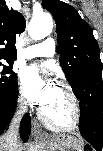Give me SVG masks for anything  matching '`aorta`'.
Segmentation results:
<instances>
[{
    "instance_id": "obj_1",
    "label": "aorta",
    "mask_w": 103,
    "mask_h": 151,
    "mask_svg": "<svg viewBox=\"0 0 103 151\" xmlns=\"http://www.w3.org/2000/svg\"><path fill=\"white\" fill-rule=\"evenodd\" d=\"M53 22L49 13L34 16L28 25V34L34 40H41L52 32Z\"/></svg>"
}]
</instances>
